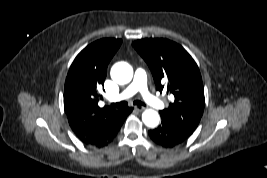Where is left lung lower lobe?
I'll return each mask as SVG.
<instances>
[{"label": "left lung lower lobe", "mask_w": 267, "mask_h": 178, "mask_svg": "<svg viewBox=\"0 0 267 178\" xmlns=\"http://www.w3.org/2000/svg\"><path fill=\"white\" fill-rule=\"evenodd\" d=\"M150 138L158 145L171 148L183 143L189 135L183 133L173 122L162 119V124L148 131Z\"/></svg>", "instance_id": "left-lung-lower-lobe-1"}]
</instances>
